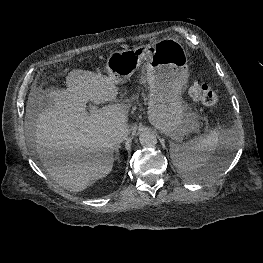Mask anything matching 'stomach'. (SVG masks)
<instances>
[{"label":"stomach","mask_w":263,"mask_h":263,"mask_svg":"<svg viewBox=\"0 0 263 263\" xmlns=\"http://www.w3.org/2000/svg\"><path fill=\"white\" fill-rule=\"evenodd\" d=\"M146 64L149 84L148 118L166 136L176 141L197 130L196 115L190 113L181 99L188 79L187 52L174 38H163L153 44L112 52L106 62L108 76L115 84L124 83Z\"/></svg>","instance_id":"stomach-1"}]
</instances>
